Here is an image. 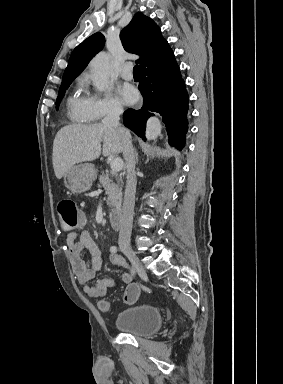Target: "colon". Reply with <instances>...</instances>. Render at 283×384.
<instances>
[{"instance_id": "1", "label": "colon", "mask_w": 283, "mask_h": 384, "mask_svg": "<svg viewBox=\"0 0 283 384\" xmlns=\"http://www.w3.org/2000/svg\"><path fill=\"white\" fill-rule=\"evenodd\" d=\"M58 215L60 217L61 227L66 232H72L80 228L84 223V215L79 210L75 202L71 199H63L57 206ZM139 296V287L131 284L124 293V300L128 304L134 303ZM99 309L104 312H110L111 304L107 300L98 302Z\"/></svg>"}]
</instances>
